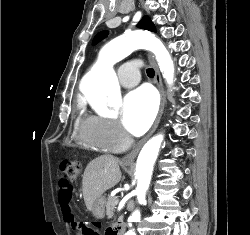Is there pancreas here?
<instances>
[{
    "mask_svg": "<svg viewBox=\"0 0 250 235\" xmlns=\"http://www.w3.org/2000/svg\"><path fill=\"white\" fill-rule=\"evenodd\" d=\"M118 200L117 197H109L106 205V215L108 218H112L114 216V211L116 208V201ZM122 219V217L120 218Z\"/></svg>",
    "mask_w": 250,
    "mask_h": 235,
    "instance_id": "pancreas-1",
    "label": "pancreas"
}]
</instances>
